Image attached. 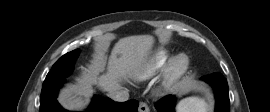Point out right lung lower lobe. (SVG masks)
Here are the masks:
<instances>
[{"mask_svg":"<svg viewBox=\"0 0 270 112\" xmlns=\"http://www.w3.org/2000/svg\"><path fill=\"white\" fill-rule=\"evenodd\" d=\"M62 83L49 85L43 83L40 96V112H69L57 102L56 97ZM139 102L132 99L123 103L114 102L110 98L95 97L91 106L84 112H138Z\"/></svg>","mask_w":270,"mask_h":112,"instance_id":"98d812e1","label":"right lung lower lobe"}]
</instances>
